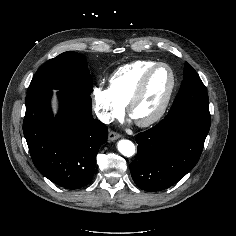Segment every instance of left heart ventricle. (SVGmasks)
Listing matches in <instances>:
<instances>
[{"label": "left heart ventricle", "instance_id": "obj_1", "mask_svg": "<svg viewBox=\"0 0 236 236\" xmlns=\"http://www.w3.org/2000/svg\"><path fill=\"white\" fill-rule=\"evenodd\" d=\"M170 85L168 69L161 67L150 77L146 89L132 110V118L141 121L150 118L161 106Z\"/></svg>", "mask_w": 236, "mask_h": 236}]
</instances>
